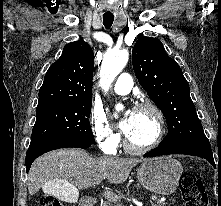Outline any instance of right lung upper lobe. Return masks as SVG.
Masks as SVG:
<instances>
[{
  "mask_svg": "<svg viewBox=\"0 0 221 206\" xmlns=\"http://www.w3.org/2000/svg\"><path fill=\"white\" fill-rule=\"evenodd\" d=\"M93 68L94 54L85 41L66 45L45 75L37 108L92 103Z\"/></svg>",
  "mask_w": 221,
  "mask_h": 206,
  "instance_id": "obj_1",
  "label": "right lung upper lobe"
}]
</instances>
